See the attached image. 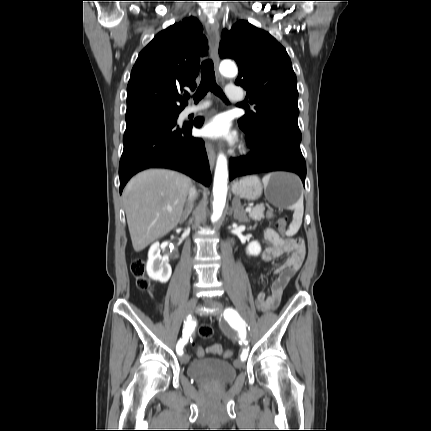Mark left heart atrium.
Listing matches in <instances>:
<instances>
[{
    "mask_svg": "<svg viewBox=\"0 0 431 431\" xmlns=\"http://www.w3.org/2000/svg\"><path fill=\"white\" fill-rule=\"evenodd\" d=\"M202 134L210 138H217L223 136L230 141H233L235 139V135L228 130L225 121L220 117L211 119L203 127Z\"/></svg>",
    "mask_w": 431,
    "mask_h": 431,
    "instance_id": "39dd6f15",
    "label": "left heart atrium"
}]
</instances>
